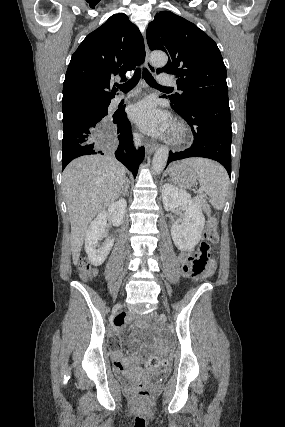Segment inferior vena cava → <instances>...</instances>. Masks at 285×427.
Here are the masks:
<instances>
[{
    "label": "inferior vena cava",
    "mask_w": 285,
    "mask_h": 427,
    "mask_svg": "<svg viewBox=\"0 0 285 427\" xmlns=\"http://www.w3.org/2000/svg\"><path fill=\"white\" fill-rule=\"evenodd\" d=\"M134 144H135V147H136V148H138V147L141 145V136L136 135V136L134 137Z\"/></svg>",
    "instance_id": "602c4592"
}]
</instances>
